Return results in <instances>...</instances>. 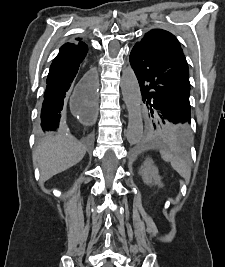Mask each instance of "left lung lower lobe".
<instances>
[{"mask_svg": "<svg viewBox=\"0 0 225 267\" xmlns=\"http://www.w3.org/2000/svg\"><path fill=\"white\" fill-rule=\"evenodd\" d=\"M130 64L138 79L143 100L155 116L180 125L190 124V82L182 51L151 38L137 42Z\"/></svg>", "mask_w": 225, "mask_h": 267, "instance_id": "obj_1", "label": "left lung lower lobe"}]
</instances>
